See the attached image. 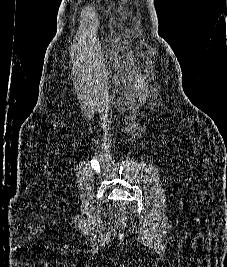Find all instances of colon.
I'll return each instance as SVG.
<instances>
[{"label": "colon", "instance_id": "1", "mask_svg": "<svg viewBox=\"0 0 227 267\" xmlns=\"http://www.w3.org/2000/svg\"><path fill=\"white\" fill-rule=\"evenodd\" d=\"M120 222H121L122 224H124V223H125V218H121V219H120Z\"/></svg>", "mask_w": 227, "mask_h": 267}]
</instances>
